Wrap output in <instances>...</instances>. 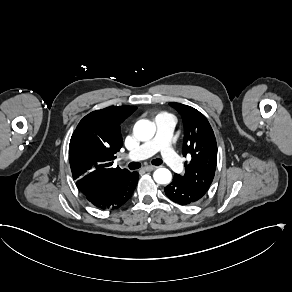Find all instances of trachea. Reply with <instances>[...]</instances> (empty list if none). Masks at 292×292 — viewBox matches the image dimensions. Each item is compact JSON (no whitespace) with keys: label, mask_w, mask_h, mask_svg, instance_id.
I'll use <instances>...</instances> for the list:
<instances>
[{"label":"trachea","mask_w":292,"mask_h":292,"mask_svg":"<svg viewBox=\"0 0 292 292\" xmlns=\"http://www.w3.org/2000/svg\"><path fill=\"white\" fill-rule=\"evenodd\" d=\"M152 164L156 165V166H159V165L163 164V161H162V159L157 158V159H154L152 161ZM128 167H129L130 170H136V169L141 167V164L139 162H131L128 165Z\"/></svg>","instance_id":"3493384b"}]
</instances>
